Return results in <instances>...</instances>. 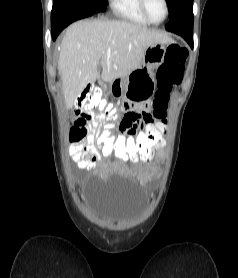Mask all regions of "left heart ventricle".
<instances>
[{
  "label": "left heart ventricle",
  "instance_id": "left-heart-ventricle-1",
  "mask_svg": "<svg viewBox=\"0 0 238 278\" xmlns=\"http://www.w3.org/2000/svg\"><path fill=\"white\" fill-rule=\"evenodd\" d=\"M147 10L154 21H160L165 15V6L162 0H147Z\"/></svg>",
  "mask_w": 238,
  "mask_h": 278
}]
</instances>
